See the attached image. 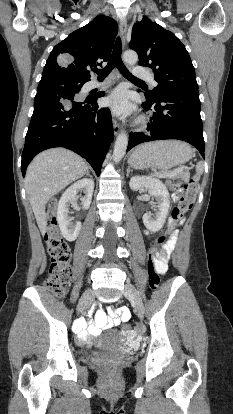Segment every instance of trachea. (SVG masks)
Returning <instances> with one entry per match:
<instances>
[{
	"instance_id": "obj_1",
	"label": "trachea",
	"mask_w": 233,
	"mask_h": 414,
	"mask_svg": "<svg viewBox=\"0 0 233 414\" xmlns=\"http://www.w3.org/2000/svg\"><path fill=\"white\" fill-rule=\"evenodd\" d=\"M121 51H122V44L120 37L117 38L115 42V46L111 55V58L103 69H96L94 70L95 73L98 74V79H105L109 73L113 70V68L117 67L120 73L130 81L137 82V83H144V81L134 77L129 70L126 68L124 63L121 59Z\"/></svg>"
}]
</instances>
